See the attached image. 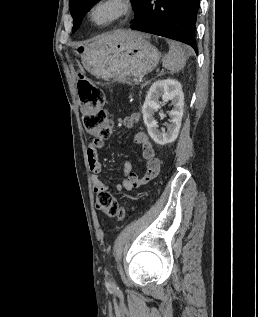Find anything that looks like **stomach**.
Instances as JSON below:
<instances>
[{
  "instance_id": "stomach-1",
  "label": "stomach",
  "mask_w": 258,
  "mask_h": 317,
  "mask_svg": "<svg viewBox=\"0 0 258 317\" xmlns=\"http://www.w3.org/2000/svg\"><path fill=\"white\" fill-rule=\"evenodd\" d=\"M160 54L141 32L129 30L126 40H111L96 46L82 44L80 58L83 66L100 78H114L120 74L139 78L155 68Z\"/></svg>"
}]
</instances>
